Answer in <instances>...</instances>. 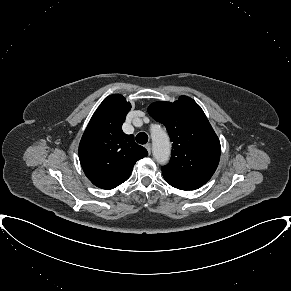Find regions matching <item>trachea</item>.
Wrapping results in <instances>:
<instances>
[{"instance_id": "obj_1", "label": "trachea", "mask_w": 291, "mask_h": 291, "mask_svg": "<svg viewBox=\"0 0 291 291\" xmlns=\"http://www.w3.org/2000/svg\"><path fill=\"white\" fill-rule=\"evenodd\" d=\"M136 141L139 144H146L148 142V135L144 132L137 134Z\"/></svg>"}]
</instances>
